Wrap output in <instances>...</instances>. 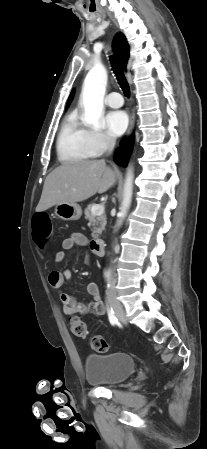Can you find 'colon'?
Here are the masks:
<instances>
[{"instance_id": "obj_1", "label": "colon", "mask_w": 207, "mask_h": 449, "mask_svg": "<svg viewBox=\"0 0 207 449\" xmlns=\"http://www.w3.org/2000/svg\"><path fill=\"white\" fill-rule=\"evenodd\" d=\"M33 239L37 246L44 250L48 247L53 229L49 216L44 212L36 213L33 216ZM69 325L72 334L76 337L85 338L88 334L86 323L78 316L69 318ZM90 346L98 352H106L108 344L100 335H94L89 339Z\"/></svg>"}]
</instances>
